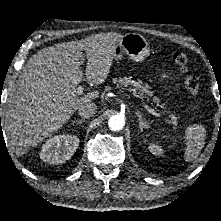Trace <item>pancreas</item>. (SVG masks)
Here are the masks:
<instances>
[{
  "mask_svg": "<svg viewBox=\"0 0 221 221\" xmlns=\"http://www.w3.org/2000/svg\"><path fill=\"white\" fill-rule=\"evenodd\" d=\"M115 84H117L118 87H127L132 86L139 90L141 95H145L147 98H151L153 96V93L149 90L148 86H144L142 81H135L131 80V78L128 77H119L118 79L115 78L113 80ZM153 101L160 104V100L157 97H153ZM162 106V105H161ZM170 121L175 125L177 123V118L174 115H170Z\"/></svg>",
  "mask_w": 221,
  "mask_h": 221,
  "instance_id": "1",
  "label": "pancreas"
}]
</instances>
